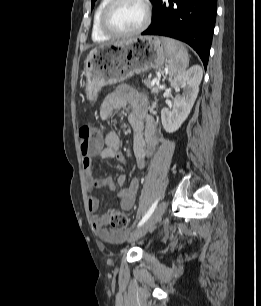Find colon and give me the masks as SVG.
<instances>
[{
    "instance_id": "obj_1",
    "label": "colon",
    "mask_w": 261,
    "mask_h": 306,
    "mask_svg": "<svg viewBox=\"0 0 261 306\" xmlns=\"http://www.w3.org/2000/svg\"><path fill=\"white\" fill-rule=\"evenodd\" d=\"M80 149L84 157L97 153L102 146V135L93 125H83L79 129ZM109 224L116 229H125L128 226L127 215L119 210L112 211L109 215Z\"/></svg>"
}]
</instances>
